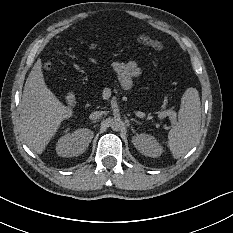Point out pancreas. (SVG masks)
Listing matches in <instances>:
<instances>
[{"label": "pancreas", "instance_id": "cf45deb5", "mask_svg": "<svg viewBox=\"0 0 233 233\" xmlns=\"http://www.w3.org/2000/svg\"><path fill=\"white\" fill-rule=\"evenodd\" d=\"M165 114H169L171 116V118H176L177 117V114H176L175 111L159 112V113H157V116L159 118H164Z\"/></svg>", "mask_w": 233, "mask_h": 233}]
</instances>
